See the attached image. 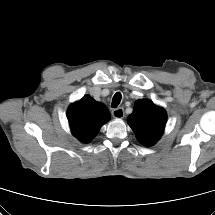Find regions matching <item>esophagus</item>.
Masks as SVG:
<instances>
[{"label": "esophagus", "instance_id": "34e87169", "mask_svg": "<svg viewBox=\"0 0 215 215\" xmlns=\"http://www.w3.org/2000/svg\"><path fill=\"white\" fill-rule=\"evenodd\" d=\"M112 116L116 119H122L124 117V109L119 107L112 111Z\"/></svg>", "mask_w": 215, "mask_h": 215}]
</instances>
